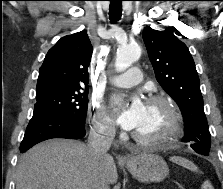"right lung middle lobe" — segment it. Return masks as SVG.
Instances as JSON below:
<instances>
[{
  "mask_svg": "<svg viewBox=\"0 0 223 189\" xmlns=\"http://www.w3.org/2000/svg\"><path fill=\"white\" fill-rule=\"evenodd\" d=\"M36 101L34 111L40 110L65 115L79 123L85 121L88 95L83 92L81 87L37 92Z\"/></svg>",
  "mask_w": 223,
  "mask_h": 189,
  "instance_id": "dd1d6c3e",
  "label": "right lung middle lobe"
}]
</instances>
